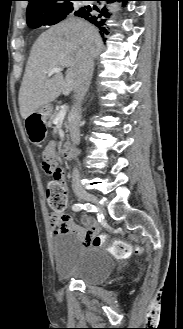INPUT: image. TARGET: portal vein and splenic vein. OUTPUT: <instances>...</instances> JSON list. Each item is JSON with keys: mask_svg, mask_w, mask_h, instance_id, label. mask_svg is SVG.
Listing matches in <instances>:
<instances>
[{"mask_svg": "<svg viewBox=\"0 0 183 329\" xmlns=\"http://www.w3.org/2000/svg\"><path fill=\"white\" fill-rule=\"evenodd\" d=\"M62 70H63L62 67H54V68H52V69L49 71L48 75L51 76V75H53V74H55V73H59V72H61ZM66 111H67V106L64 105V106L61 108V110L59 111V113H58V115L56 116V118L53 120V124H54V125H59V124H61V123L63 122V120H64V118H65V115H66Z\"/></svg>", "mask_w": 183, "mask_h": 329, "instance_id": "obj_1", "label": "portal vein and splenic vein"}]
</instances>
